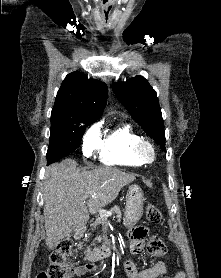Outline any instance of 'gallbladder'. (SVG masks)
<instances>
[{
    "mask_svg": "<svg viewBox=\"0 0 221 278\" xmlns=\"http://www.w3.org/2000/svg\"><path fill=\"white\" fill-rule=\"evenodd\" d=\"M71 235H72V233H70V234L68 235V238H69Z\"/></svg>",
    "mask_w": 221,
    "mask_h": 278,
    "instance_id": "bac80fb5",
    "label": "gallbladder"
}]
</instances>
